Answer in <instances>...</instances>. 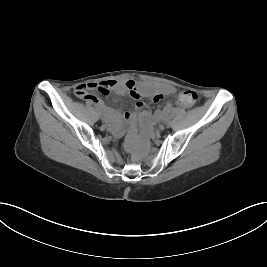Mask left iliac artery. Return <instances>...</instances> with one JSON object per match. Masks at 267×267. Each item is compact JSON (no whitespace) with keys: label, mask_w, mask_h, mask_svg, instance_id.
Segmentation results:
<instances>
[{"label":"left iliac artery","mask_w":267,"mask_h":267,"mask_svg":"<svg viewBox=\"0 0 267 267\" xmlns=\"http://www.w3.org/2000/svg\"><path fill=\"white\" fill-rule=\"evenodd\" d=\"M163 121L166 122V123H168V122L171 121V117H165V118L163 119Z\"/></svg>","instance_id":"1"}]
</instances>
